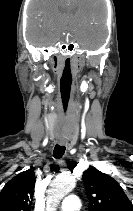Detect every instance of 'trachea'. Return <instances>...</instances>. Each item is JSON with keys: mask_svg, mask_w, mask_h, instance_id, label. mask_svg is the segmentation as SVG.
Returning <instances> with one entry per match:
<instances>
[{"mask_svg": "<svg viewBox=\"0 0 133 211\" xmlns=\"http://www.w3.org/2000/svg\"><path fill=\"white\" fill-rule=\"evenodd\" d=\"M65 149H66V147L64 145L56 144L54 151H53V156L56 159L61 158L65 152Z\"/></svg>", "mask_w": 133, "mask_h": 211, "instance_id": "trachea-1", "label": "trachea"}]
</instances>
